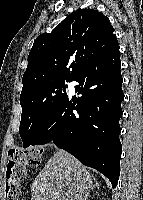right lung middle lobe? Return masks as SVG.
Segmentation results:
<instances>
[{
	"instance_id": "1",
	"label": "right lung middle lobe",
	"mask_w": 143,
	"mask_h": 200,
	"mask_svg": "<svg viewBox=\"0 0 143 200\" xmlns=\"http://www.w3.org/2000/svg\"><path fill=\"white\" fill-rule=\"evenodd\" d=\"M71 81H47L21 92L22 115L19 133L24 148L30 146L43 125L68 96L66 82Z\"/></svg>"
}]
</instances>
